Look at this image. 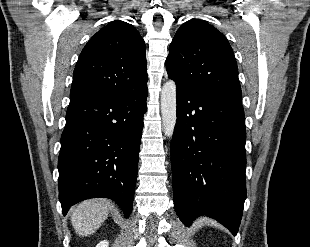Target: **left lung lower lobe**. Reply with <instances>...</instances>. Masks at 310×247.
<instances>
[{"mask_svg":"<svg viewBox=\"0 0 310 247\" xmlns=\"http://www.w3.org/2000/svg\"><path fill=\"white\" fill-rule=\"evenodd\" d=\"M176 86L171 141L175 211L186 226L206 214L236 235L246 199L242 104Z\"/></svg>","mask_w":310,"mask_h":247,"instance_id":"left-lung-lower-lobe-1","label":"left lung lower lobe"}]
</instances>
